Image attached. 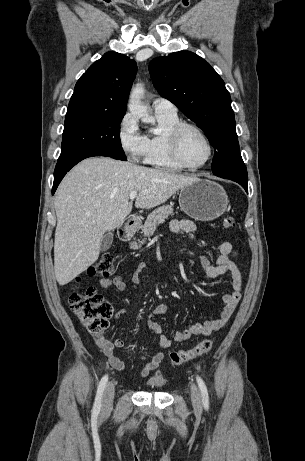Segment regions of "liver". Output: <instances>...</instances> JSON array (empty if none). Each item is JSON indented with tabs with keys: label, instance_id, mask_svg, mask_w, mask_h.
I'll use <instances>...</instances> for the list:
<instances>
[{
	"label": "liver",
	"instance_id": "liver-1",
	"mask_svg": "<svg viewBox=\"0 0 305 461\" xmlns=\"http://www.w3.org/2000/svg\"><path fill=\"white\" fill-rule=\"evenodd\" d=\"M195 180L106 157L80 162L59 185L54 202V271L59 285L71 282L98 259L104 234L121 225L132 210L131 192H138L135 206L148 209Z\"/></svg>",
	"mask_w": 305,
	"mask_h": 461
}]
</instances>
